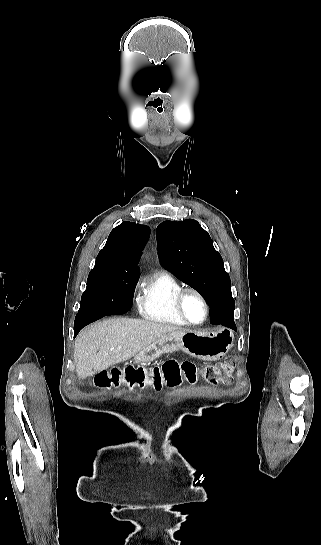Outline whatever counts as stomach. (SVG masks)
I'll list each match as a JSON object with an SVG mask.
<instances>
[{
    "mask_svg": "<svg viewBox=\"0 0 321 545\" xmlns=\"http://www.w3.org/2000/svg\"><path fill=\"white\" fill-rule=\"evenodd\" d=\"M234 341V333L227 327H220L211 333L199 331L171 333L160 337L158 341L140 351L135 357V363H151L161 355L173 351H184L187 355L203 361H219L234 347Z\"/></svg>",
    "mask_w": 321,
    "mask_h": 545,
    "instance_id": "obj_1",
    "label": "stomach"
}]
</instances>
